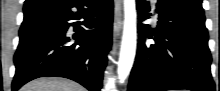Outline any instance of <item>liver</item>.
<instances>
[{
  "label": "liver",
  "mask_w": 220,
  "mask_h": 91,
  "mask_svg": "<svg viewBox=\"0 0 220 91\" xmlns=\"http://www.w3.org/2000/svg\"><path fill=\"white\" fill-rule=\"evenodd\" d=\"M20 91H85V89L64 78H39L24 85Z\"/></svg>",
  "instance_id": "1"
}]
</instances>
